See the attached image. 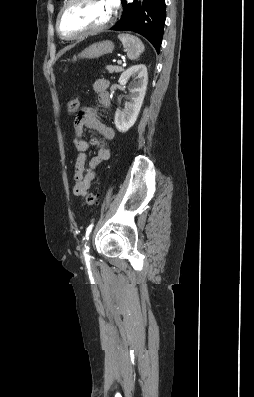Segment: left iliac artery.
<instances>
[{"label":"left iliac artery","mask_w":254,"mask_h":397,"mask_svg":"<svg viewBox=\"0 0 254 397\" xmlns=\"http://www.w3.org/2000/svg\"><path fill=\"white\" fill-rule=\"evenodd\" d=\"M92 228H93V224L89 225V227L87 228V230H86V236H85V239H86V240L89 239V234H90V232L92 231ZM88 251H89V247H86V246H85L84 255H85L86 260H89V259H90L89 255L86 254V252H88Z\"/></svg>","instance_id":"1"}]
</instances>
